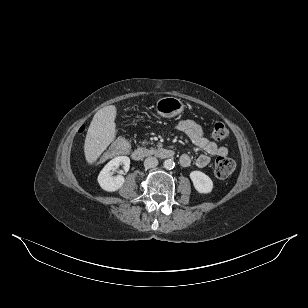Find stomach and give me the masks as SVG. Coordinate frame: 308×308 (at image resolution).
Instances as JSON below:
<instances>
[{"instance_id": "stomach-1", "label": "stomach", "mask_w": 308, "mask_h": 308, "mask_svg": "<svg viewBox=\"0 0 308 308\" xmlns=\"http://www.w3.org/2000/svg\"><path fill=\"white\" fill-rule=\"evenodd\" d=\"M184 107V103L176 97H164L156 103L157 113L164 118H171L180 114Z\"/></svg>"}]
</instances>
